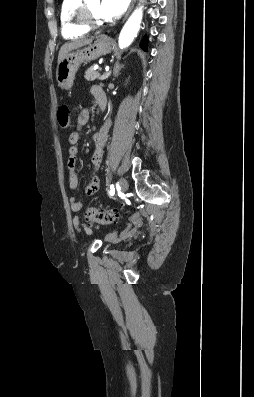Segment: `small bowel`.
Returning <instances> with one entry per match:
<instances>
[{
    "instance_id": "1",
    "label": "small bowel",
    "mask_w": 254,
    "mask_h": 397,
    "mask_svg": "<svg viewBox=\"0 0 254 397\" xmlns=\"http://www.w3.org/2000/svg\"><path fill=\"white\" fill-rule=\"evenodd\" d=\"M91 93L95 100L98 102L99 99L103 96H105L104 91L102 90L101 87L95 85L91 88ZM90 118L89 111L87 109L81 110L77 117V130L73 131L69 135V143H70V148H69V158L67 162V167L69 171V186L72 190H76L79 186V180H78V175L76 172V167H77V161H78V155H79V149H78V143L80 140V131L81 128L84 127ZM111 125V121L109 118H107L102 125L101 129L94 133L93 135V141L95 144V149L92 155V175L85 186V196L90 197L94 195L100 186V178H99V171H100V165L102 162V157L104 153V149L107 145V140H108V131ZM69 204L70 208L73 212H79L83 209L84 207V202L82 200H79L75 196H71L69 198ZM73 226L78 232H85L87 234H90L92 231L87 225L81 220L80 217L75 216L73 218ZM133 229L131 226H128L125 230L122 231L121 237L126 238L132 235ZM109 240H116L117 239V233H111L108 236Z\"/></svg>"
}]
</instances>
